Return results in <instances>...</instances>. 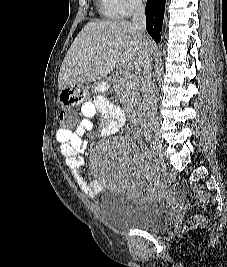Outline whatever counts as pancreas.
Returning a JSON list of instances; mask_svg holds the SVG:
<instances>
[{
	"instance_id": "pancreas-1",
	"label": "pancreas",
	"mask_w": 227,
	"mask_h": 267,
	"mask_svg": "<svg viewBox=\"0 0 227 267\" xmlns=\"http://www.w3.org/2000/svg\"><path fill=\"white\" fill-rule=\"evenodd\" d=\"M113 89L121 97L124 106L134 110L140 104V93L137 83L128 85L127 76H117L113 81Z\"/></svg>"
}]
</instances>
